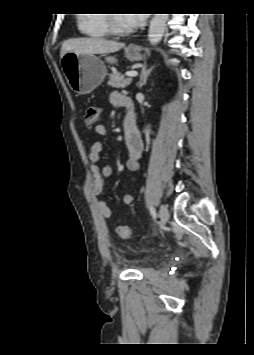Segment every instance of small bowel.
<instances>
[{"label":"small bowel","instance_id":"obj_1","mask_svg":"<svg viewBox=\"0 0 254 355\" xmlns=\"http://www.w3.org/2000/svg\"><path fill=\"white\" fill-rule=\"evenodd\" d=\"M111 103L116 106L124 107L126 109V114L124 118V130H125V144L128 150V160L127 168L131 172L130 182L131 184H136L138 181V172L140 169V158L144 149V143L142 136L137 129L133 128L128 131L125 127V122L128 117H133L136 119V114L134 111V106L128 97L122 95L118 92H114L111 95ZM107 130L104 125H97L94 128V135L99 137H104ZM103 150V142L100 140L94 141L90 146L89 161L91 163V171L93 174L91 192L96 197L98 208L101 216L105 220H110L112 218V211L110 207L105 202V190H104V180L111 177L113 174V167L109 164L102 167L97 165L100 159V154ZM123 203L130 205L132 203V195L130 193H125L123 195Z\"/></svg>","mask_w":254,"mask_h":355}]
</instances>
